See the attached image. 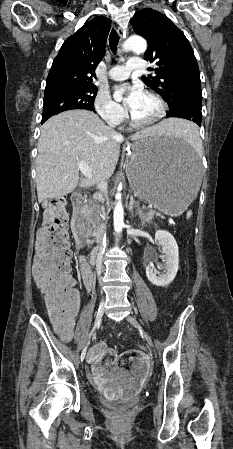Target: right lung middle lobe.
Returning a JSON list of instances; mask_svg holds the SVG:
<instances>
[{
	"label": "right lung middle lobe",
	"instance_id": "right-lung-middle-lobe-1",
	"mask_svg": "<svg viewBox=\"0 0 233 449\" xmlns=\"http://www.w3.org/2000/svg\"><path fill=\"white\" fill-rule=\"evenodd\" d=\"M96 86L57 89L44 95L42 121L62 111L72 109L94 110Z\"/></svg>",
	"mask_w": 233,
	"mask_h": 449
}]
</instances>
